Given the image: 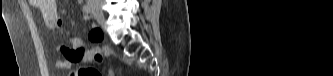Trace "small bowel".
<instances>
[{"label": "small bowel", "mask_w": 333, "mask_h": 76, "mask_svg": "<svg viewBox=\"0 0 333 76\" xmlns=\"http://www.w3.org/2000/svg\"><path fill=\"white\" fill-rule=\"evenodd\" d=\"M33 4L50 29L63 31L64 26L59 19L56 0H34ZM83 18L87 20L89 16L84 14ZM89 38L95 44L105 41V36L94 25L91 27ZM64 41L65 44L59 42L56 45V51L61 56V59L56 61L55 66L58 69H69L67 76H80V71L76 68L75 63L87 64L108 52V49L104 46L88 48L83 40L78 37H68Z\"/></svg>", "instance_id": "small-bowel-1"}]
</instances>
